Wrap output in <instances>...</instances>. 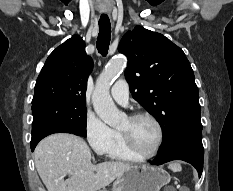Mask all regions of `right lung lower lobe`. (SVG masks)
Listing matches in <instances>:
<instances>
[{
    "label": "right lung lower lobe",
    "instance_id": "1",
    "mask_svg": "<svg viewBox=\"0 0 233 191\" xmlns=\"http://www.w3.org/2000/svg\"><path fill=\"white\" fill-rule=\"evenodd\" d=\"M59 132H65V133H69L66 130H62V129H47V130H43L35 135H32V139H31V150L33 151L34 148L36 147V145L38 144V142L43 139L44 137L53 134V133H59Z\"/></svg>",
    "mask_w": 233,
    "mask_h": 191
}]
</instances>
